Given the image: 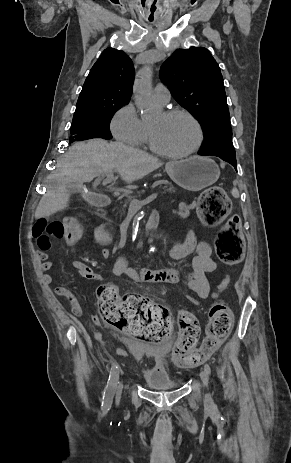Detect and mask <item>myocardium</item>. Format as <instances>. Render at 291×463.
I'll list each match as a JSON object with an SVG mask.
<instances>
[{
  "mask_svg": "<svg viewBox=\"0 0 291 463\" xmlns=\"http://www.w3.org/2000/svg\"><path fill=\"white\" fill-rule=\"evenodd\" d=\"M163 114L166 117L184 116V117L188 118L194 124V126L196 128V131H197L196 142L191 148H189L188 150L183 151V152L172 153V152L164 151V150L160 149L156 145L153 131H152L151 127L149 126L148 127V141H149V145H150L151 149L156 154H158V155H160L162 157H165V158H169V159L185 158V157H188V156L192 155L196 151H198L200 149L202 143H203V140H204V131H203V127H202L200 121L196 118V116L194 114H192L190 111H188L186 109H183V108L168 109V110L164 111Z\"/></svg>",
  "mask_w": 291,
  "mask_h": 463,
  "instance_id": "myocardium-1",
  "label": "myocardium"
}]
</instances>
